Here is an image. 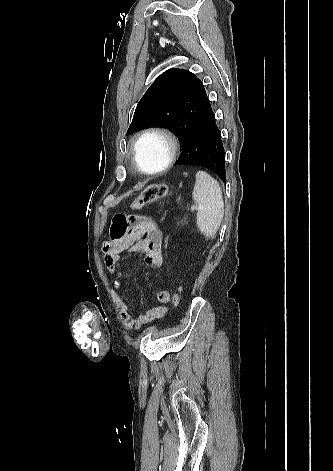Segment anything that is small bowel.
I'll return each mask as SVG.
<instances>
[{
  "mask_svg": "<svg viewBox=\"0 0 333 471\" xmlns=\"http://www.w3.org/2000/svg\"><path fill=\"white\" fill-rule=\"evenodd\" d=\"M162 242V231L152 219L142 215L130 216L117 213L111 219L110 238L102 245L105 266L108 271L113 272L119 266L124 253L142 252L145 255L147 266L160 268L163 265ZM124 275L123 270L117 273L110 295L125 328L137 330L145 324L163 318L168 312L167 304L171 300L170 292L168 290L158 291L156 294L158 305L151 307L144 314L133 317L121 295Z\"/></svg>",
  "mask_w": 333,
  "mask_h": 471,
  "instance_id": "small-bowel-1",
  "label": "small bowel"
}]
</instances>
